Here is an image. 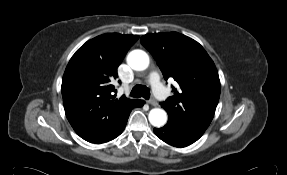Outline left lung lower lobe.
Here are the masks:
<instances>
[{
    "instance_id": "obj_1",
    "label": "left lung lower lobe",
    "mask_w": 287,
    "mask_h": 175,
    "mask_svg": "<svg viewBox=\"0 0 287 175\" xmlns=\"http://www.w3.org/2000/svg\"><path fill=\"white\" fill-rule=\"evenodd\" d=\"M154 133L162 141L178 148L189 146L200 138L169 120L164 127L155 128Z\"/></svg>"
}]
</instances>
